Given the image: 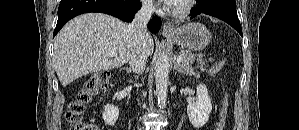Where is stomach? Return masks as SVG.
<instances>
[{"label":"stomach","mask_w":299,"mask_h":130,"mask_svg":"<svg viewBox=\"0 0 299 130\" xmlns=\"http://www.w3.org/2000/svg\"><path fill=\"white\" fill-rule=\"evenodd\" d=\"M166 37L181 47L200 51L209 44L211 33L203 24L192 22L175 29L172 34H168Z\"/></svg>","instance_id":"1"}]
</instances>
